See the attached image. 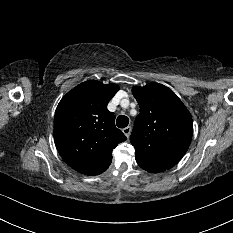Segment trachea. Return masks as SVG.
Instances as JSON below:
<instances>
[{"label":"trachea","mask_w":233,"mask_h":233,"mask_svg":"<svg viewBox=\"0 0 233 233\" xmlns=\"http://www.w3.org/2000/svg\"><path fill=\"white\" fill-rule=\"evenodd\" d=\"M116 124L119 128H125L129 124V118L124 115L118 116Z\"/></svg>","instance_id":"3493384b"}]
</instances>
